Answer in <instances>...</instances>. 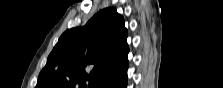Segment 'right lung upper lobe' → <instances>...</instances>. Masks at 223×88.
Segmentation results:
<instances>
[{"mask_svg": "<svg viewBox=\"0 0 223 88\" xmlns=\"http://www.w3.org/2000/svg\"><path fill=\"white\" fill-rule=\"evenodd\" d=\"M128 52L123 16L103 9L60 37L36 88H117L127 80Z\"/></svg>", "mask_w": 223, "mask_h": 88, "instance_id": "cb5924a9", "label": "right lung upper lobe"}]
</instances>
